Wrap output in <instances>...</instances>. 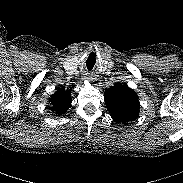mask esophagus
<instances>
[{"mask_svg":"<svg viewBox=\"0 0 183 183\" xmlns=\"http://www.w3.org/2000/svg\"><path fill=\"white\" fill-rule=\"evenodd\" d=\"M87 79L91 81L93 78L91 76H88Z\"/></svg>","mask_w":183,"mask_h":183,"instance_id":"1","label":"esophagus"}]
</instances>
